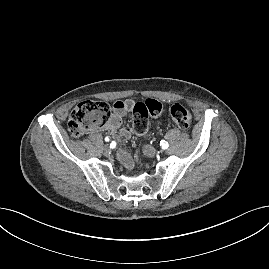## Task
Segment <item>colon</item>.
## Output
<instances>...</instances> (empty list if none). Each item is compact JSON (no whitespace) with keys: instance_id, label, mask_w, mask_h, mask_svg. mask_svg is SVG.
I'll return each mask as SVG.
<instances>
[{"instance_id":"obj_1","label":"colon","mask_w":269,"mask_h":269,"mask_svg":"<svg viewBox=\"0 0 269 269\" xmlns=\"http://www.w3.org/2000/svg\"><path fill=\"white\" fill-rule=\"evenodd\" d=\"M162 111L159 101L148 99L138 102L133 107V130L136 135L146 134L149 126V117L156 116ZM169 114L174 123L183 130H189L191 125V114L182 105L175 104L170 107ZM110 116V107L101 101H83L76 105L71 111L68 120V130L72 137L79 138L87 132L101 127Z\"/></svg>"}]
</instances>
